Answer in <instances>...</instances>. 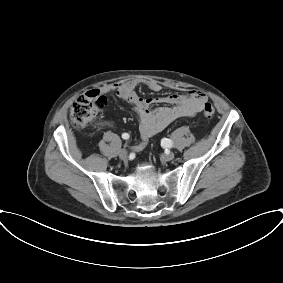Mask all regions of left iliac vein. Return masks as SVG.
Returning a JSON list of instances; mask_svg holds the SVG:
<instances>
[{
	"label": "left iliac vein",
	"instance_id": "left-iliac-vein-1",
	"mask_svg": "<svg viewBox=\"0 0 283 283\" xmlns=\"http://www.w3.org/2000/svg\"><path fill=\"white\" fill-rule=\"evenodd\" d=\"M174 157H175V155H174L173 152H169V153L162 155L163 161H171V160L174 159Z\"/></svg>",
	"mask_w": 283,
	"mask_h": 283
}]
</instances>
